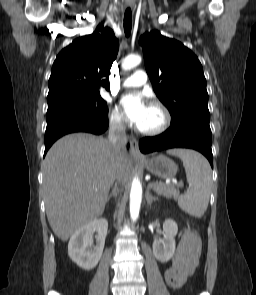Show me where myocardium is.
Returning a JSON list of instances; mask_svg holds the SVG:
<instances>
[{"label":"myocardium","instance_id":"obj_1","mask_svg":"<svg viewBox=\"0 0 256 295\" xmlns=\"http://www.w3.org/2000/svg\"><path fill=\"white\" fill-rule=\"evenodd\" d=\"M150 107L154 108L160 114V122L157 126L149 129L137 128L138 132L143 135H158L163 133L171 123V116L167 108L159 101H152Z\"/></svg>","mask_w":256,"mask_h":295}]
</instances>
